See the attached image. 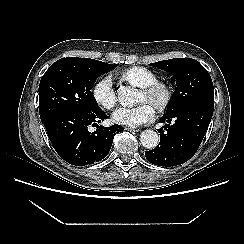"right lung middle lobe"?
<instances>
[{"label": "right lung middle lobe", "instance_id": "dd1d6c3e", "mask_svg": "<svg viewBox=\"0 0 244 244\" xmlns=\"http://www.w3.org/2000/svg\"><path fill=\"white\" fill-rule=\"evenodd\" d=\"M116 67V64L79 57L62 58L53 63L39 85L41 120L60 112L100 111L91 89L100 75Z\"/></svg>", "mask_w": 244, "mask_h": 244}]
</instances>
